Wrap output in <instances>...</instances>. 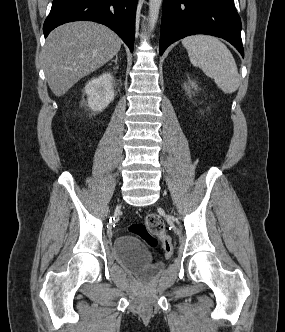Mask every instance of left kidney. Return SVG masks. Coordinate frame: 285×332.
<instances>
[{"mask_svg":"<svg viewBox=\"0 0 285 332\" xmlns=\"http://www.w3.org/2000/svg\"><path fill=\"white\" fill-rule=\"evenodd\" d=\"M191 86H192V88H195V89H196V86H195V83H194V82H191Z\"/></svg>","mask_w":285,"mask_h":332,"instance_id":"left-kidney-1","label":"left kidney"}]
</instances>
